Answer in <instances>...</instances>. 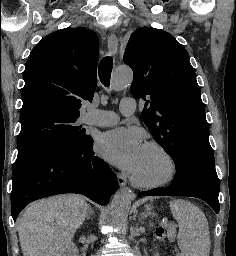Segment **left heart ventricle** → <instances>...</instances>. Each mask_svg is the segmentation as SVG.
<instances>
[{"mask_svg": "<svg viewBox=\"0 0 236 256\" xmlns=\"http://www.w3.org/2000/svg\"><path fill=\"white\" fill-rule=\"evenodd\" d=\"M167 172L168 163L162 153L145 146L133 173L144 181L154 182L163 178Z\"/></svg>", "mask_w": 236, "mask_h": 256, "instance_id": "b2bd125f", "label": "left heart ventricle"}]
</instances>
